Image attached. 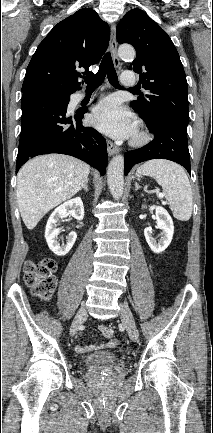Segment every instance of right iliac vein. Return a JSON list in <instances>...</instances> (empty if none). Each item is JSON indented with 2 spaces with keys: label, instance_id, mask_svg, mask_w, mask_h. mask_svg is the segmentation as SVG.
Segmentation results:
<instances>
[{
  "label": "right iliac vein",
  "instance_id": "right-iliac-vein-1",
  "mask_svg": "<svg viewBox=\"0 0 213 433\" xmlns=\"http://www.w3.org/2000/svg\"><path fill=\"white\" fill-rule=\"evenodd\" d=\"M86 318H87V310L85 307H81L78 310L70 328V334L72 336H74L77 333L80 325L86 320Z\"/></svg>",
  "mask_w": 213,
  "mask_h": 433
}]
</instances>
